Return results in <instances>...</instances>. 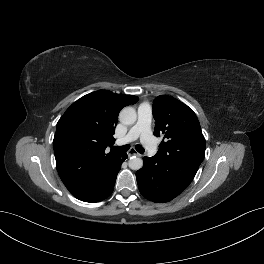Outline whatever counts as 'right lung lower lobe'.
I'll list each match as a JSON object with an SVG mask.
<instances>
[{"label": "right lung lower lobe", "instance_id": "obj_1", "mask_svg": "<svg viewBox=\"0 0 264 264\" xmlns=\"http://www.w3.org/2000/svg\"><path fill=\"white\" fill-rule=\"evenodd\" d=\"M126 158H127V154L122 153V155L117 159V161L115 162V165H114V167L112 169V172L110 174L109 184H108L107 189L105 190V192L98 199H96L93 202L102 201L105 198H107L113 192L117 174H118L119 170L121 169V164L123 163V161Z\"/></svg>", "mask_w": 264, "mask_h": 264}]
</instances>
